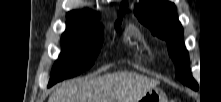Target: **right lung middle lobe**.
Instances as JSON below:
<instances>
[{
	"label": "right lung middle lobe",
	"instance_id": "right-lung-middle-lobe-1",
	"mask_svg": "<svg viewBox=\"0 0 221 102\" xmlns=\"http://www.w3.org/2000/svg\"><path fill=\"white\" fill-rule=\"evenodd\" d=\"M124 13L115 23L117 30ZM101 28L97 20L67 19V30L62 35L63 51L52 69L49 87L80 74L94 64L103 41Z\"/></svg>",
	"mask_w": 221,
	"mask_h": 102
}]
</instances>
